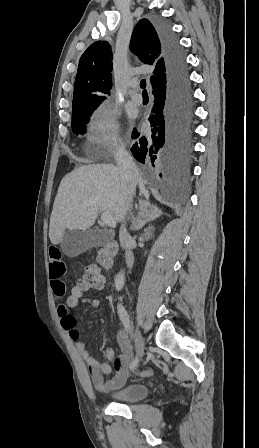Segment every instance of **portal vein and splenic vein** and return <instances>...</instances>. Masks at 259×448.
<instances>
[{"mask_svg": "<svg viewBox=\"0 0 259 448\" xmlns=\"http://www.w3.org/2000/svg\"><path fill=\"white\" fill-rule=\"evenodd\" d=\"M101 220L102 222H104V224L110 226V228H115L116 226V220L115 218H113L112 214H109V212H102Z\"/></svg>", "mask_w": 259, "mask_h": 448, "instance_id": "18ae733b", "label": "portal vein and splenic vein"}]
</instances>
